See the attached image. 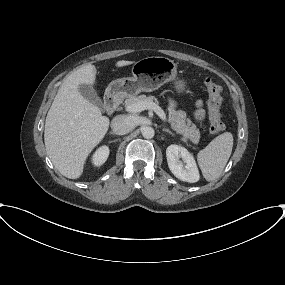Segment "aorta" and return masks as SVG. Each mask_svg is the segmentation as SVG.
Returning a JSON list of instances; mask_svg holds the SVG:
<instances>
[{
	"instance_id": "1",
	"label": "aorta",
	"mask_w": 285,
	"mask_h": 285,
	"mask_svg": "<svg viewBox=\"0 0 285 285\" xmlns=\"http://www.w3.org/2000/svg\"><path fill=\"white\" fill-rule=\"evenodd\" d=\"M142 136L146 139H151L155 135V131L152 127L146 126L141 130Z\"/></svg>"
}]
</instances>
